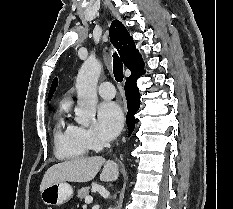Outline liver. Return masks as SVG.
<instances>
[{"label": "liver", "instance_id": "6515ba94", "mask_svg": "<svg viewBox=\"0 0 233 209\" xmlns=\"http://www.w3.org/2000/svg\"><path fill=\"white\" fill-rule=\"evenodd\" d=\"M103 165L100 180L116 181L119 176V167L114 161H105L100 156L77 158L51 166L44 174L40 191L57 182H88L97 175Z\"/></svg>", "mask_w": 233, "mask_h": 209}]
</instances>
